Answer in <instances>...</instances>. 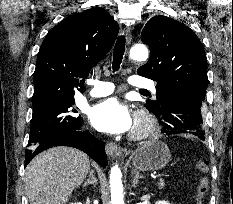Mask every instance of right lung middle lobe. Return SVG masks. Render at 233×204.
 Returning <instances> with one entry per match:
<instances>
[{
  "instance_id": "obj_1",
  "label": "right lung middle lobe",
  "mask_w": 233,
  "mask_h": 204,
  "mask_svg": "<svg viewBox=\"0 0 233 204\" xmlns=\"http://www.w3.org/2000/svg\"><path fill=\"white\" fill-rule=\"evenodd\" d=\"M74 98L51 99L33 104L28 150H33L48 138L81 127V117L72 108Z\"/></svg>"
}]
</instances>
